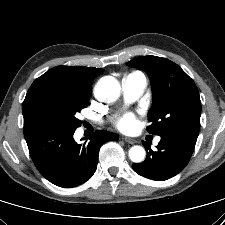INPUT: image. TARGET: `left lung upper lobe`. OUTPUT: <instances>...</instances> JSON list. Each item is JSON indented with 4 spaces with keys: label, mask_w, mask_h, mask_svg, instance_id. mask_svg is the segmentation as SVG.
Wrapping results in <instances>:
<instances>
[{
    "label": "left lung upper lobe",
    "mask_w": 225,
    "mask_h": 225,
    "mask_svg": "<svg viewBox=\"0 0 225 225\" xmlns=\"http://www.w3.org/2000/svg\"><path fill=\"white\" fill-rule=\"evenodd\" d=\"M147 72L152 86L153 105L148 112L151 134H174L197 140L201 101L193 80L174 62L142 56L127 63Z\"/></svg>",
    "instance_id": "1"
}]
</instances>
